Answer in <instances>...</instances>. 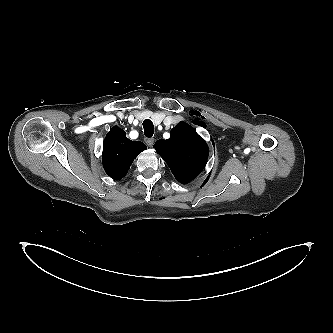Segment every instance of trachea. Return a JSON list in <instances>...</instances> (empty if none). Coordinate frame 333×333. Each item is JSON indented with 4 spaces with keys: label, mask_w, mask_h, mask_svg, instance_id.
Here are the masks:
<instances>
[{
    "label": "trachea",
    "mask_w": 333,
    "mask_h": 333,
    "mask_svg": "<svg viewBox=\"0 0 333 333\" xmlns=\"http://www.w3.org/2000/svg\"><path fill=\"white\" fill-rule=\"evenodd\" d=\"M144 134L146 137L150 138L154 133V125L150 119H146L143 122Z\"/></svg>",
    "instance_id": "1"
}]
</instances>
